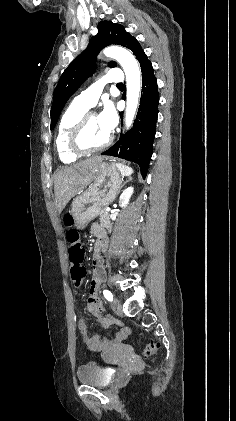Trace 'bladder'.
<instances>
[{
	"label": "bladder",
	"mask_w": 236,
	"mask_h": 421,
	"mask_svg": "<svg viewBox=\"0 0 236 421\" xmlns=\"http://www.w3.org/2000/svg\"><path fill=\"white\" fill-rule=\"evenodd\" d=\"M77 382L101 387L108 384L104 373L99 369L96 361H89L77 370Z\"/></svg>",
	"instance_id": "1"
}]
</instances>
